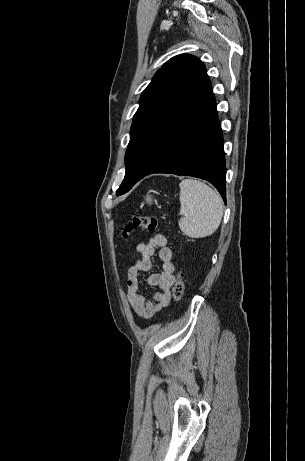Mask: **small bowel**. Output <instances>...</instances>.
<instances>
[{"label":"small bowel","mask_w":305,"mask_h":461,"mask_svg":"<svg viewBox=\"0 0 305 461\" xmlns=\"http://www.w3.org/2000/svg\"><path fill=\"white\" fill-rule=\"evenodd\" d=\"M156 250H158L162 271L148 274ZM135 252L140 255V258L129 267L127 272V299L137 316L148 319L168 305L169 291L175 279V265L172 261V250L167 246L166 237L161 234L151 236L139 243ZM145 274H148L147 284L158 289L152 299L147 298L140 290V278Z\"/></svg>","instance_id":"1"}]
</instances>
